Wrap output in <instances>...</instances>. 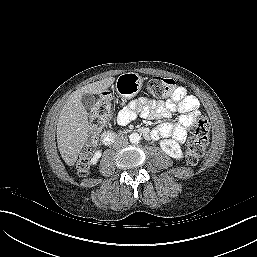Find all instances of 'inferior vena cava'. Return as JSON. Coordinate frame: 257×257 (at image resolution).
<instances>
[{
  "instance_id": "1",
  "label": "inferior vena cava",
  "mask_w": 257,
  "mask_h": 257,
  "mask_svg": "<svg viewBox=\"0 0 257 257\" xmlns=\"http://www.w3.org/2000/svg\"><path fill=\"white\" fill-rule=\"evenodd\" d=\"M127 144H128V139L124 136H120L115 140L113 147L120 148V147L126 146Z\"/></svg>"
}]
</instances>
